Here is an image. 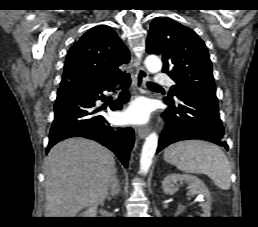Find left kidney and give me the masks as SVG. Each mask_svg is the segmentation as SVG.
<instances>
[{"label": "left kidney", "instance_id": "obj_1", "mask_svg": "<svg viewBox=\"0 0 258 227\" xmlns=\"http://www.w3.org/2000/svg\"><path fill=\"white\" fill-rule=\"evenodd\" d=\"M178 182L180 184L183 182L187 183L188 189L192 192V194H197L198 198H200V207L203 211L200 217H210L211 194L203 181L196 176L189 174H170L162 181V188L164 192L170 195L177 192Z\"/></svg>", "mask_w": 258, "mask_h": 227}]
</instances>
